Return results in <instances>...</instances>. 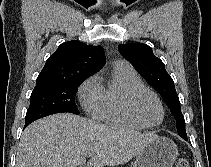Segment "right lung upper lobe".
Returning <instances> with one entry per match:
<instances>
[{"label": "right lung upper lobe", "instance_id": "right-lung-upper-lobe-1", "mask_svg": "<svg viewBox=\"0 0 211 167\" xmlns=\"http://www.w3.org/2000/svg\"><path fill=\"white\" fill-rule=\"evenodd\" d=\"M105 63V53L101 46L68 41L59 45L58 49L47 59L36 79V84L86 79L98 72Z\"/></svg>", "mask_w": 211, "mask_h": 167}]
</instances>
